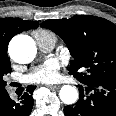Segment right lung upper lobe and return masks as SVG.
<instances>
[{"mask_svg": "<svg viewBox=\"0 0 116 116\" xmlns=\"http://www.w3.org/2000/svg\"><path fill=\"white\" fill-rule=\"evenodd\" d=\"M36 21H26L19 18H0V59L8 58L7 46L10 39L22 31L38 27Z\"/></svg>", "mask_w": 116, "mask_h": 116, "instance_id": "right-lung-upper-lobe-1", "label": "right lung upper lobe"}]
</instances>
